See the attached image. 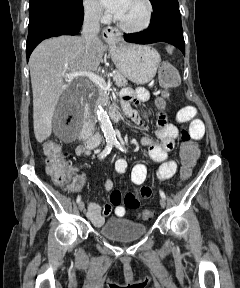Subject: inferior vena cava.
Returning a JSON list of instances; mask_svg holds the SVG:
<instances>
[{
    "mask_svg": "<svg viewBox=\"0 0 240 288\" xmlns=\"http://www.w3.org/2000/svg\"><path fill=\"white\" fill-rule=\"evenodd\" d=\"M100 16L101 9L98 6H92L85 11L82 38L85 42L86 50H89L92 43L98 40Z\"/></svg>",
    "mask_w": 240,
    "mask_h": 288,
    "instance_id": "1",
    "label": "inferior vena cava"
}]
</instances>
